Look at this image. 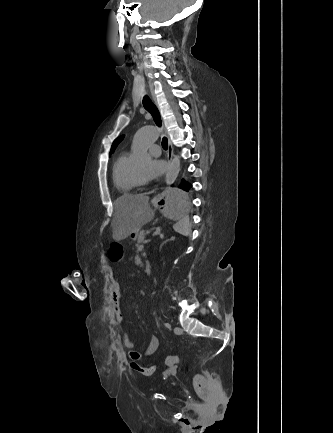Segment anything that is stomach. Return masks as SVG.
Returning <instances> with one entry per match:
<instances>
[{
    "label": "stomach",
    "instance_id": "obj_1",
    "mask_svg": "<svg viewBox=\"0 0 333 433\" xmlns=\"http://www.w3.org/2000/svg\"><path fill=\"white\" fill-rule=\"evenodd\" d=\"M154 205L160 209L163 220H184V215H187L190 207L180 183H169L165 186L164 194L155 199ZM137 235L138 233L130 234L135 238Z\"/></svg>",
    "mask_w": 333,
    "mask_h": 433
}]
</instances>
